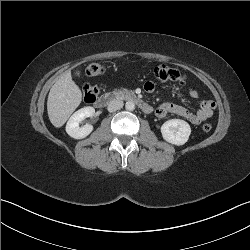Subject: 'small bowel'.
<instances>
[{
	"label": "small bowel",
	"mask_w": 250,
	"mask_h": 250,
	"mask_svg": "<svg viewBox=\"0 0 250 250\" xmlns=\"http://www.w3.org/2000/svg\"><path fill=\"white\" fill-rule=\"evenodd\" d=\"M144 89L147 92H153L155 90V85L152 82H146L144 85ZM170 89L171 87H166L165 91H169ZM189 95L194 100L199 98L198 92L193 88L189 89ZM214 108L215 103L212 100L202 101L200 109L196 112H192L181 105L173 103H162L155 108V114L159 118H164L168 114H174L187 119L194 125H198L212 116Z\"/></svg>",
	"instance_id": "obj_1"
}]
</instances>
